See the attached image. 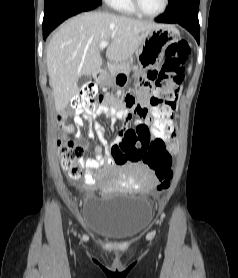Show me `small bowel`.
<instances>
[{
	"mask_svg": "<svg viewBox=\"0 0 238 278\" xmlns=\"http://www.w3.org/2000/svg\"><path fill=\"white\" fill-rule=\"evenodd\" d=\"M146 81H151L152 85L157 84V76H160V67L157 64H154L153 67H147L145 71ZM147 98H153V93H142L139 98V104L137 100H122V105L124 107H117L108 99L105 100V103L101 105L95 112L88 113L83 110H75L73 121L74 124L81 128L84 125V118L88 120H93V129L95 134L100 141V146H97L94 151V157H86L81 160V165L86 168H97L101 165L111 164L112 160L109 156H105L103 149H106L110 152L113 145L121 144L123 142H130L131 144H141V137H150L151 133L148 117L139 116L141 120L138 122L136 129H129L125 126L115 141L110 144L105 138V129L97 121L95 117L97 115H102L106 118L111 119L112 123L117 122L118 120H123L127 124L133 117L135 113H151V105H147ZM67 113L62 112L57 116V121L62 128L65 134H71L73 132V127L66 124ZM90 138L94 136L93 132L88 134ZM174 133L172 135H154L150 139V144H165L166 149H172L173 153L177 150V144L172 142ZM76 137L80 140V143L86 147V143L83 140L82 134L78 132ZM172 153V154H173ZM169 154V155H172ZM147 166V165H146ZM148 167V166H147ZM149 173L145 176V185L148 188H152L156 182L157 178L154 172L148 167Z\"/></svg>",
	"mask_w": 238,
	"mask_h": 278,
	"instance_id": "1",
	"label": "small bowel"
}]
</instances>
